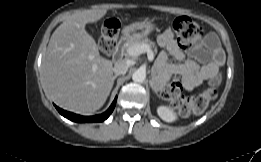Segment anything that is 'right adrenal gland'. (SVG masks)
<instances>
[{"mask_svg":"<svg viewBox=\"0 0 261 162\" xmlns=\"http://www.w3.org/2000/svg\"><path fill=\"white\" fill-rule=\"evenodd\" d=\"M118 76H119L118 74H116V75L113 76V79H112V87H113V84H114V80H115Z\"/></svg>","mask_w":261,"mask_h":162,"instance_id":"1","label":"right adrenal gland"}]
</instances>
